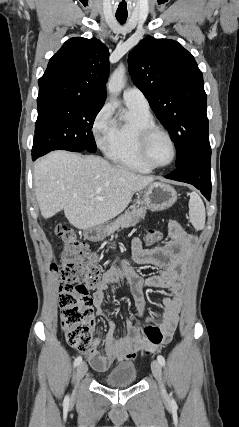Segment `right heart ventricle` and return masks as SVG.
<instances>
[{
	"label": "right heart ventricle",
	"instance_id": "e07e8e85",
	"mask_svg": "<svg viewBox=\"0 0 239 427\" xmlns=\"http://www.w3.org/2000/svg\"><path fill=\"white\" fill-rule=\"evenodd\" d=\"M125 117L115 121L112 135L104 148L106 156L115 164L139 173H149L153 169L141 159L139 135L142 129L154 126L150 111L127 106Z\"/></svg>",
	"mask_w": 239,
	"mask_h": 427
}]
</instances>
